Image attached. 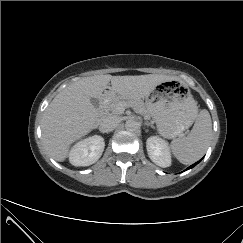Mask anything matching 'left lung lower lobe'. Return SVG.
Listing matches in <instances>:
<instances>
[{"label": "left lung lower lobe", "instance_id": "1", "mask_svg": "<svg viewBox=\"0 0 243 243\" xmlns=\"http://www.w3.org/2000/svg\"><path fill=\"white\" fill-rule=\"evenodd\" d=\"M197 163H199V161L197 162ZM197 163H195V164H193V165H191L190 167H188V169H191V168H193Z\"/></svg>", "mask_w": 243, "mask_h": 243}]
</instances>
